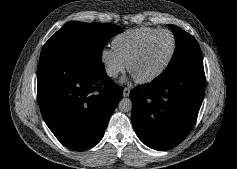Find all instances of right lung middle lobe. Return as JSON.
<instances>
[{
    "mask_svg": "<svg viewBox=\"0 0 237 169\" xmlns=\"http://www.w3.org/2000/svg\"><path fill=\"white\" fill-rule=\"evenodd\" d=\"M122 28L107 23L71 22L44 45L41 56L101 61L102 49Z\"/></svg>",
    "mask_w": 237,
    "mask_h": 169,
    "instance_id": "dd1d6c3e",
    "label": "right lung middle lobe"
}]
</instances>
